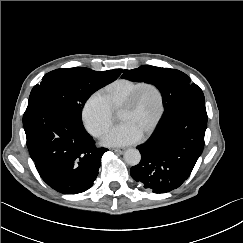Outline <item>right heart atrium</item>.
I'll return each mask as SVG.
<instances>
[{
  "label": "right heart atrium",
  "instance_id": "1",
  "mask_svg": "<svg viewBox=\"0 0 243 243\" xmlns=\"http://www.w3.org/2000/svg\"><path fill=\"white\" fill-rule=\"evenodd\" d=\"M82 122L86 130L96 138H102L113 124L112 111L100 92L93 93L85 101Z\"/></svg>",
  "mask_w": 243,
  "mask_h": 243
}]
</instances>
